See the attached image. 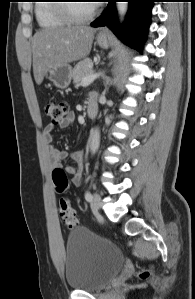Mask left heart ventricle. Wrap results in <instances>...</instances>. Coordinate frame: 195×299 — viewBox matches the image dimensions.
<instances>
[{
	"label": "left heart ventricle",
	"mask_w": 195,
	"mask_h": 299,
	"mask_svg": "<svg viewBox=\"0 0 195 299\" xmlns=\"http://www.w3.org/2000/svg\"><path fill=\"white\" fill-rule=\"evenodd\" d=\"M92 6L89 2H75L72 3V10L78 15H85L92 10Z\"/></svg>",
	"instance_id": "1"
}]
</instances>
